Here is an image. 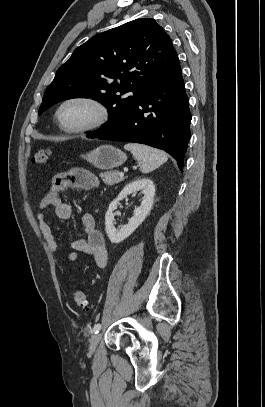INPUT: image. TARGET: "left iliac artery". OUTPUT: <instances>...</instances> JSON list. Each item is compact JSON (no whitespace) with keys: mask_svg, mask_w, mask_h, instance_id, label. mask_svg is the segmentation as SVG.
Returning a JSON list of instances; mask_svg holds the SVG:
<instances>
[{"mask_svg":"<svg viewBox=\"0 0 265 407\" xmlns=\"http://www.w3.org/2000/svg\"><path fill=\"white\" fill-rule=\"evenodd\" d=\"M100 329H101V324L100 323L95 324L93 327V332L96 334L99 332Z\"/></svg>","mask_w":265,"mask_h":407,"instance_id":"obj_1","label":"left iliac artery"}]
</instances>
